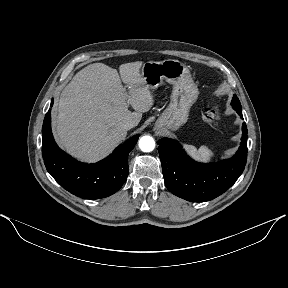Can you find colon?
<instances>
[{
  "label": "colon",
  "mask_w": 288,
  "mask_h": 288,
  "mask_svg": "<svg viewBox=\"0 0 288 288\" xmlns=\"http://www.w3.org/2000/svg\"><path fill=\"white\" fill-rule=\"evenodd\" d=\"M203 120L209 126H217L220 121V110L215 104L206 106L203 110Z\"/></svg>",
  "instance_id": "colon-1"
}]
</instances>
